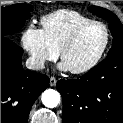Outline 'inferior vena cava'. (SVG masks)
I'll use <instances>...</instances> for the list:
<instances>
[{
    "label": "inferior vena cava",
    "mask_w": 123,
    "mask_h": 123,
    "mask_svg": "<svg viewBox=\"0 0 123 123\" xmlns=\"http://www.w3.org/2000/svg\"><path fill=\"white\" fill-rule=\"evenodd\" d=\"M44 63H45V61L43 59H41V58L29 57L26 60L25 65L30 70H41V69H43L45 67Z\"/></svg>",
    "instance_id": "obj_1"
}]
</instances>
